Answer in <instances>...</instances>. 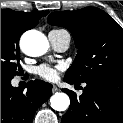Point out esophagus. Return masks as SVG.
Wrapping results in <instances>:
<instances>
[{
    "label": "esophagus",
    "mask_w": 123,
    "mask_h": 123,
    "mask_svg": "<svg viewBox=\"0 0 123 123\" xmlns=\"http://www.w3.org/2000/svg\"><path fill=\"white\" fill-rule=\"evenodd\" d=\"M52 91H53V92H57V91H58V87H57L56 85H53V86H52Z\"/></svg>",
    "instance_id": "1"
}]
</instances>
